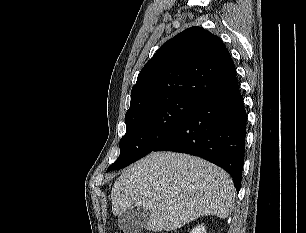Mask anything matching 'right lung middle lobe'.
Here are the masks:
<instances>
[{"label": "right lung middle lobe", "instance_id": "right-lung-middle-lobe-1", "mask_svg": "<svg viewBox=\"0 0 306 233\" xmlns=\"http://www.w3.org/2000/svg\"><path fill=\"white\" fill-rule=\"evenodd\" d=\"M200 105L176 97L157 100L127 112L126 133L119 144L120 156L107 172L124 168L153 151Z\"/></svg>", "mask_w": 306, "mask_h": 233}]
</instances>
